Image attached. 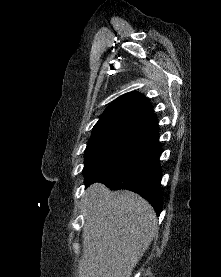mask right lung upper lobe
Listing matches in <instances>:
<instances>
[{
    "instance_id": "right-lung-upper-lobe-1",
    "label": "right lung upper lobe",
    "mask_w": 221,
    "mask_h": 277,
    "mask_svg": "<svg viewBox=\"0 0 221 277\" xmlns=\"http://www.w3.org/2000/svg\"><path fill=\"white\" fill-rule=\"evenodd\" d=\"M153 112L151 103L138 92H129L114 100L104 111L94 128L108 125L141 124Z\"/></svg>"
}]
</instances>
